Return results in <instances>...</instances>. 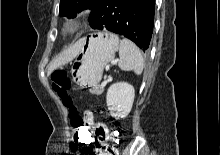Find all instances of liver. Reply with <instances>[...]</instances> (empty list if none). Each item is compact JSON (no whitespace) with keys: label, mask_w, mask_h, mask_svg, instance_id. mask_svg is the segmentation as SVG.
Returning a JSON list of instances; mask_svg holds the SVG:
<instances>
[{"label":"liver","mask_w":220,"mask_h":155,"mask_svg":"<svg viewBox=\"0 0 220 155\" xmlns=\"http://www.w3.org/2000/svg\"><path fill=\"white\" fill-rule=\"evenodd\" d=\"M83 42L80 40L74 46L63 51L58 57H56L48 67V74H51L58 67L67 64L73 60L80 52Z\"/></svg>","instance_id":"obj_1"}]
</instances>
